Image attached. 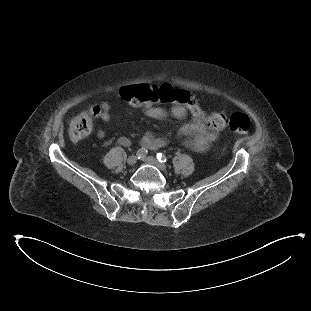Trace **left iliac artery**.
<instances>
[{"label":"left iliac artery","instance_id":"1","mask_svg":"<svg viewBox=\"0 0 311 311\" xmlns=\"http://www.w3.org/2000/svg\"><path fill=\"white\" fill-rule=\"evenodd\" d=\"M156 157H157L158 161L161 163H165L168 161L167 157L162 153H157Z\"/></svg>","mask_w":311,"mask_h":311}]
</instances>
